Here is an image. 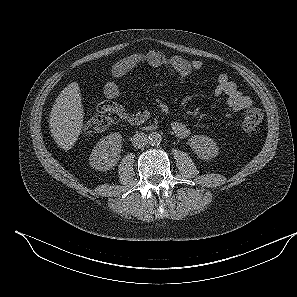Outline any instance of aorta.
<instances>
[{"label":"aorta","mask_w":297,"mask_h":297,"mask_svg":"<svg viewBox=\"0 0 297 297\" xmlns=\"http://www.w3.org/2000/svg\"><path fill=\"white\" fill-rule=\"evenodd\" d=\"M149 144L152 146L159 145L162 141V137L158 132H152L148 136Z\"/></svg>","instance_id":"obj_1"}]
</instances>
